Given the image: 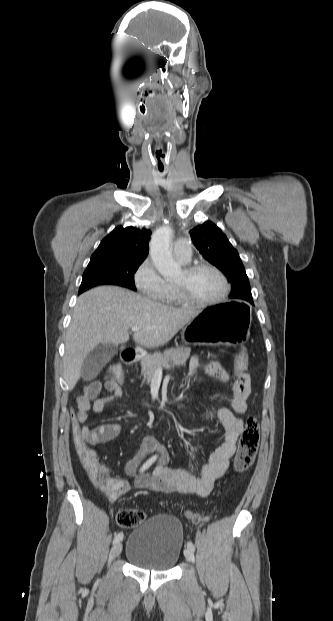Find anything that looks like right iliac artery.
Segmentation results:
<instances>
[{
	"instance_id": "obj_1",
	"label": "right iliac artery",
	"mask_w": 333,
	"mask_h": 621,
	"mask_svg": "<svg viewBox=\"0 0 333 621\" xmlns=\"http://www.w3.org/2000/svg\"><path fill=\"white\" fill-rule=\"evenodd\" d=\"M157 456H152L151 458H149L144 464L143 466L140 468V472H144L145 470H147L156 460ZM123 539V533L119 532L115 535L113 543L116 544L120 541H122Z\"/></svg>"
}]
</instances>
